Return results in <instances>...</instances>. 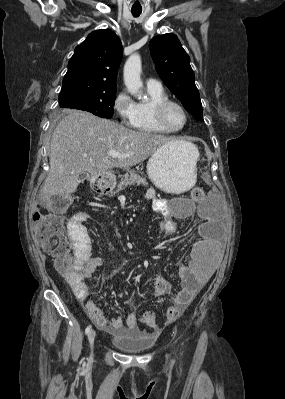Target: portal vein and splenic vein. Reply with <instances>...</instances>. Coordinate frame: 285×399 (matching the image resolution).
Instances as JSON below:
<instances>
[{"instance_id": "1", "label": "portal vein and splenic vein", "mask_w": 285, "mask_h": 399, "mask_svg": "<svg viewBox=\"0 0 285 399\" xmlns=\"http://www.w3.org/2000/svg\"><path fill=\"white\" fill-rule=\"evenodd\" d=\"M109 155L111 156V157H113V158H121V157H126V156H124V155H121L119 152H117V151H110L109 152Z\"/></svg>"}]
</instances>
